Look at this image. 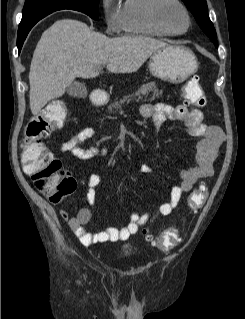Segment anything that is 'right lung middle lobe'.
Instances as JSON below:
<instances>
[{
    "label": "right lung middle lobe",
    "mask_w": 245,
    "mask_h": 319,
    "mask_svg": "<svg viewBox=\"0 0 245 319\" xmlns=\"http://www.w3.org/2000/svg\"><path fill=\"white\" fill-rule=\"evenodd\" d=\"M98 4L99 0H26L19 28L27 27L38 12H52L61 9L80 11L97 20Z\"/></svg>",
    "instance_id": "1"
}]
</instances>
